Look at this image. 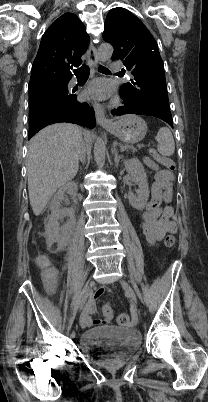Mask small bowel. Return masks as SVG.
<instances>
[{
	"label": "small bowel",
	"mask_w": 208,
	"mask_h": 402,
	"mask_svg": "<svg viewBox=\"0 0 208 402\" xmlns=\"http://www.w3.org/2000/svg\"><path fill=\"white\" fill-rule=\"evenodd\" d=\"M144 163L154 172V182L152 185V199L147 208L141 213V228L149 243H155L165 237L167 234H174L177 231L176 224L171 217L173 210L170 206H162V202H169L171 199V183L173 173L168 169H163L159 164L149 158L144 159ZM104 295L102 289H95L93 299L100 301ZM54 296V295H50ZM94 301L89 300L84 309L82 320L79 324L81 330H88L90 324H104L109 321L113 312L109 304L103 307V318L93 319ZM64 330H71L73 324L71 321H64L62 324Z\"/></svg>",
	"instance_id": "small-bowel-1"
}]
</instances>
